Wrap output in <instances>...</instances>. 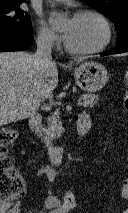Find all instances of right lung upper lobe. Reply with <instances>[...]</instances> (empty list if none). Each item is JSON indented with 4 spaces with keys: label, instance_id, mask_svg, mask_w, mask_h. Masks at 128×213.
<instances>
[{
    "label": "right lung upper lobe",
    "instance_id": "1",
    "mask_svg": "<svg viewBox=\"0 0 128 213\" xmlns=\"http://www.w3.org/2000/svg\"><path fill=\"white\" fill-rule=\"evenodd\" d=\"M26 0H0V5H15V4H21L22 2H25Z\"/></svg>",
    "mask_w": 128,
    "mask_h": 213
}]
</instances>
